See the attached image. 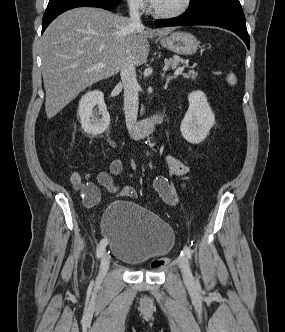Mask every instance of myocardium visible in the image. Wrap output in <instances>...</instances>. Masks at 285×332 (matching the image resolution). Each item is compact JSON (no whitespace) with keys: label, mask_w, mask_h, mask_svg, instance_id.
<instances>
[{"label":"myocardium","mask_w":285,"mask_h":332,"mask_svg":"<svg viewBox=\"0 0 285 332\" xmlns=\"http://www.w3.org/2000/svg\"><path fill=\"white\" fill-rule=\"evenodd\" d=\"M192 0H183L182 5L174 10V11H170V12H163V11H159L158 9H156V7L153 8V14L158 17V18H162V19H173V18H177L181 15H183L191 6Z\"/></svg>","instance_id":"myocardium-1"}]
</instances>
